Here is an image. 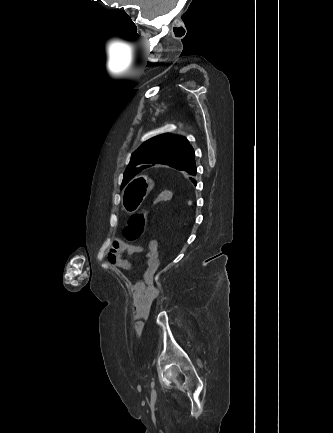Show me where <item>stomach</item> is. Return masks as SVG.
Returning a JSON list of instances; mask_svg holds the SVG:
<instances>
[{
	"label": "stomach",
	"mask_w": 333,
	"mask_h": 433,
	"mask_svg": "<svg viewBox=\"0 0 333 433\" xmlns=\"http://www.w3.org/2000/svg\"><path fill=\"white\" fill-rule=\"evenodd\" d=\"M153 188V181L148 176L132 179L123 192L122 209L128 213L136 212Z\"/></svg>",
	"instance_id": "1"
}]
</instances>
